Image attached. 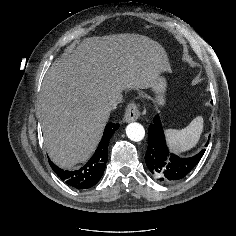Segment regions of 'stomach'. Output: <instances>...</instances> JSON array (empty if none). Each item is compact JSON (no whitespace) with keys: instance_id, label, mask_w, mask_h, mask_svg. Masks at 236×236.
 <instances>
[{"instance_id":"stomach-1","label":"stomach","mask_w":236,"mask_h":236,"mask_svg":"<svg viewBox=\"0 0 236 236\" xmlns=\"http://www.w3.org/2000/svg\"><path fill=\"white\" fill-rule=\"evenodd\" d=\"M167 88V82L165 78L161 75L158 76L155 85L153 86V91L157 94L156 102L158 105H164L165 98L164 93Z\"/></svg>"}]
</instances>
